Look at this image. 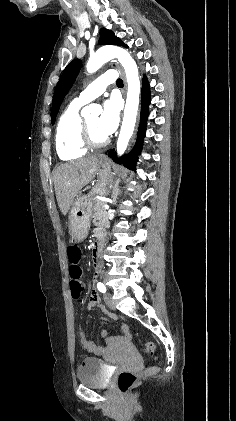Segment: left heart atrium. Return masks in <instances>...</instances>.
<instances>
[{"label": "left heart atrium", "instance_id": "obj_1", "mask_svg": "<svg viewBox=\"0 0 236 421\" xmlns=\"http://www.w3.org/2000/svg\"><path fill=\"white\" fill-rule=\"evenodd\" d=\"M119 123V107L114 99H108L104 102L103 112L99 118L98 126L105 135L112 134Z\"/></svg>", "mask_w": 236, "mask_h": 421}]
</instances>
